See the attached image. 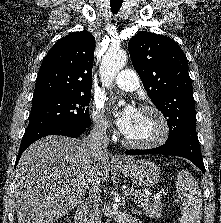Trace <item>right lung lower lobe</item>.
<instances>
[{
  "instance_id": "obj_1",
  "label": "right lung lower lobe",
  "mask_w": 221,
  "mask_h": 223,
  "mask_svg": "<svg viewBox=\"0 0 221 223\" xmlns=\"http://www.w3.org/2000/svg\"><path fill=\"white\" fill-rule=\"evenodd\" d=\"M87 128L74 127L66 124H49L35 129L26 130L22 138L15 166L18 163L21 154L36 140L48 135H64L72 138L79 137Z\"/></svg>"
}]
</instances>
